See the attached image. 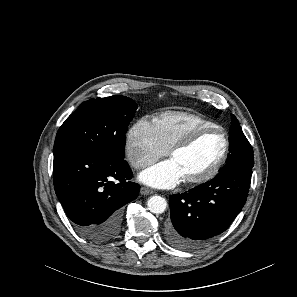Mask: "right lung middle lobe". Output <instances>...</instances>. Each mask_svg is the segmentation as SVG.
<instances>
[{
  "mask_svg": "<svg viewBox=\"0 0 297 297\" xmlns=\"http://www.w3.org/2000/svg\"><path fill=\"white\" fill-rule=\"evenodd\" d=\"M137 107L125 96L83 102L59 128L54 151L88 149L123 159L125 133Z\"/></svg>",
  "mask_w": 297,
  "mask_h": 297,
  "instance_id": "obj_1",
  "label": "right lung middle lobe"
}]
</instances>
